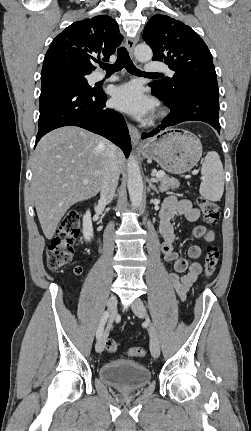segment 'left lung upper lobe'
I'll return each instance as SVG.
<instances>
[{
  "label": "left lung upper lobe",
  "mask_w": 251,
  "mask_h": 431,
  "mask_svg": "<svg viewBox=\"0 0 251 431\" xmlns=\"http://www.w3.org/2000/svg\"><path fill=\"white\" fill-rule=\"evenodd\" d=\"M143 39L153 50L152 60L164 61L175 72L172 78L150 83L163 99L172 102L197 86L218 88L212 55L189 26L166 15H154L144 28Z\"/></svg>",
  "instance_id": "1"
}]
</instances>
